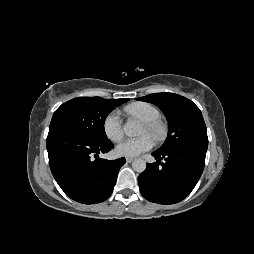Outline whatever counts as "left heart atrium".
<instances>
[{"label": "left heart atrium", "instance_id": "obj_1", "mask_svg": "<svg viewBox=\"0 0 254 254\" xmlns=\"http://www.w3.org/2000/svg\"><path fill=\"white\" fill-rule=\"evenodd\" d=\"M153 145V139L145 135L137 138L125 139L117 146L116 151L121 156H137L150 150Z\"/></svg>", "mask_w": 254, "mask_h": 254}]
</instances>
